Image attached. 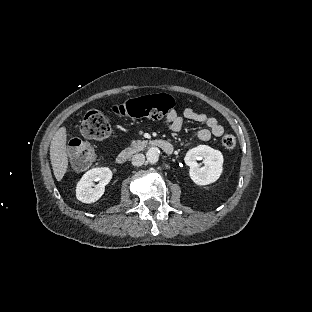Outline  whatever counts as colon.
<instances>
[{"label":"colon","mask_w":312,"mask_h":312,"mask_svg":"<svg viewBox=\"0 0 312 312\" xmlns=\"http://www.w3.org/2000/svg\"><path fill=\"white\" fill-rule=\"evenodd\" d=\"M174 106V99L169 94L149 95L137 99H130L120 104L115 112L117 115L131 118H147L158 120L165 116ZM80 133L91 139H106L111 132V125L107 117L98 110L85 113L79 125ZM223 146L231 150L236 146V138L226 135ZM72 160L75 164L84 166L94 158V152L89 147L71 148Z\"/></svg>","instance_id":"obj_1"}]
</instances>
